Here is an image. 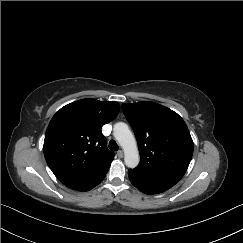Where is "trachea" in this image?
Returning a JSON list of instances; mask_svg holds the SVG:
<instances>
[{
	"mask_svg": "<svg viewBox=\"0 0 243 243\" xmlns=\"http://www.w3.org/2000/svg\"><path fill=\"white\" fill-rule=\"evenodd\" d=\"M109 149L112 150V151H118L119 147H118L115 140H111L109 142Z\"/></svg>",
	"mask_w": 243,
	"mask_h": 243,
	"instance_id": "obj_1",
	"label": "trachea"
}]
</instances>
